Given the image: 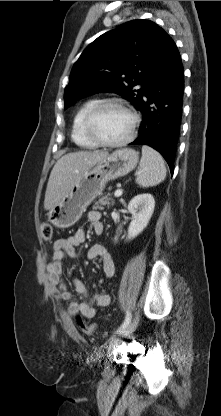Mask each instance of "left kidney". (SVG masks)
I'll use <instances>...</instances> for the list:
<instances>
[{
	"label": "left kidney",
	"instance_id": "obj_1",
	"mask_svg": "<svg viewBox=\"0 0 221 416\" xmlns=\"http://www.w3.org/2000/svg\"><path fill=\"white\" fill-rule=\"evenodd\" d=\"M154 207V198L148 193L137 195L130 201L128 210L132 214V221L128 228L127 240L137 237L147 227Z\"/></svg>",
	"mask_w": 221,
	"mask_h": 416
}]
</instances>
